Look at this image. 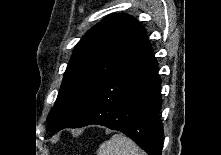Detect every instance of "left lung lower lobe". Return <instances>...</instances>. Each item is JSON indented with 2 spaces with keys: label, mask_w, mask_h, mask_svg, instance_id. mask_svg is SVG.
<instances>
[{
  "label": "left lung lower lobe",
  "mask_w": 221,
  "mask_h": 155,
  "mask_svg": "<svg viewBox=\"0 0 221 155\" xmlns=\"http://www.w3.org/2000/svg\"><path fill=\"white\" fill-rule=\"evenodd\" d=\"M160 88L157 61L148 42L105 79L66 127L106 126L126 134L148 155H161Z\"/></svg>",
  "instance_id": "obj_1"
}]
</instances>
